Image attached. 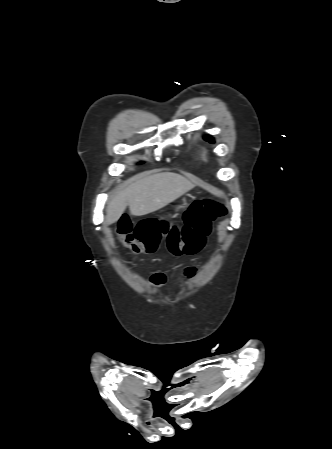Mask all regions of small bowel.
Wrapping results in <instances>:
<instances>
[{"instance_id":"obj_1","label":"small bowel","mask_w":332,"mask_h":449,"mask_svg":"<svg viewBox=\"0 0 332 449\" xmlns=\"http://www.w3.org/2000/svg\"><path fill=\"white\" fill-rule=\"evenodd\" d=\"M185 274L188 277H193L196 274V268L194 266H188L185 269ZM150 283L154 287L163 286L166 283V275L161 271L155 272L150 278Z\"/></svg>"}]
</instances>
